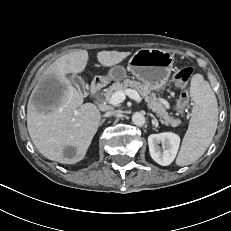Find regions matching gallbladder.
<instances>
[{"instance_id":"gallbladder-1","label":"gallbladder","mask_w":231,"mask_h":231,"mask_svg":"<svg viewBox=\"0 0 231 231\" xmlns=\"http://www.w3.org/2000/svg\"><path fill=\"white\" fill-rule=\"evenodd\" d=\"M71 82L81 91H83L84 95H87V92L85 91L84 88V81L82 78L78 75H72L71 76Z\"/></svg>"}]
</instances>
